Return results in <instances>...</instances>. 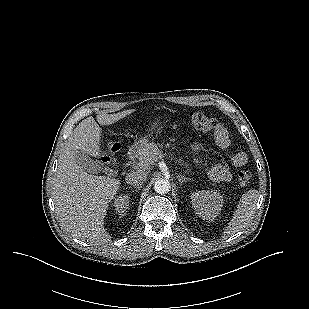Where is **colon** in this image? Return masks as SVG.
<instances>
[{"instance_id": "1", "label": "colon", "mask_w": 309, "mask_h": 309, "mask_svg": "<svg viewBox=\"0 0 309 309\" xmlns=\"http://www.w3.org/2000/svg\"><path fill=\"white\" fill-rule=\"evenodd\" d=\"M189 121L194 128L204 132H216L221 127L217 120L197 111H192L189 113ZM116 150L117 147L113 143L107 144V148L103 156V162L105 164L112 167L117 166V160L115 157ZM251 177L252 173L250 170H243L239 172L237 180L239 184L246 185L250 182Z\"/></svg>"}]
</instances>
